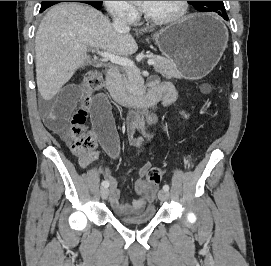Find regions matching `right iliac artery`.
<instances>
[{"label":"right iliac artery","mask_w":271,"mask_h":266,"mask_svg":"<svg viewBox=\"0 0 271 266\" xmlns=\"http://www.w3.org/2000/svg\"><path fill=\"white\" fill-rule=\"evenodd\" d=\"M102 186L107 188V187L109 186L108 181L104 180V181L102 182Z\"/></svg>","instance_id":"right-iliac-artery-1"}]
</instances>
